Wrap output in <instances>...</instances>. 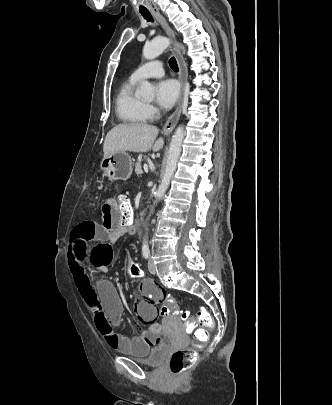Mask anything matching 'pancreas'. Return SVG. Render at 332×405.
Listing matches in <instances>:
<instances>
[{
    "instance_id": "1",
    "label": "pancreas",
    "mask_w": 332,
    "mask_h": 405,
    "mask_svg": "<svg viewBox=\"0 0 332 405\" xmlns=\"http://www.w3.org/2000/svg\"><path fill=\"white\" fill-rule=\"evenodd\" d=\"M135 174L137 176H141L143 174L142 166H141V160L137 161L135 163Z\"/></svg>"
}]
</instances>
